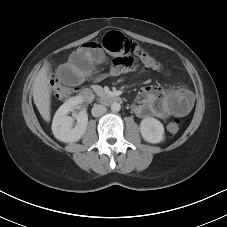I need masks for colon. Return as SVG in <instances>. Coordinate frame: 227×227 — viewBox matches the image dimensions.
I'll use <instances>...</instances> for the list:
<instances>
[{
    "label": "colon",
    "instance_id": "colon-1",
    "mask_svg": "<svg viewBox=\"0 0 227 227\" xmlns=\"http://www.w3.org/2000/svg\"><path fill=\"white\" fill-rule=\"evenodd\" d=\"M93 41L99 42L103 49L114 55L115 58L132 57L134 54L139 57L147 69L163 70L162 64L153 55L119 32H110L106 34L103 39ZM50 87L55 98L59 100L65 99L74 91V86H64L59 82L58 78L50 80ZM180 126V120L173 119L168 124V130L172 133H176L179 131Z\"/></svg>",
    "mask_w": 227,
    "mask_h": 227
}]
</instances>
